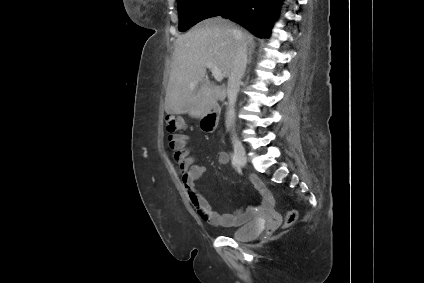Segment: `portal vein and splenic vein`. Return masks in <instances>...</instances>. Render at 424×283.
Segmentation results:
<instances>
[{"mask_svg":"<svg viewBox=\"0 0 424 283\" xmlns=\"http://www.w3.org/2000/svg\"><path fill=\"white\" fill-rule=\"evenodd\" d=\"M206 66L211 71L216 81H221L224 78L222 71L217 66H215L212 62H207Z\"/></svg>","mask_w":424,"mask_h":283,"instance_id":"18ae733b","label":"portal vein and splenic vein"}]
</instances>
